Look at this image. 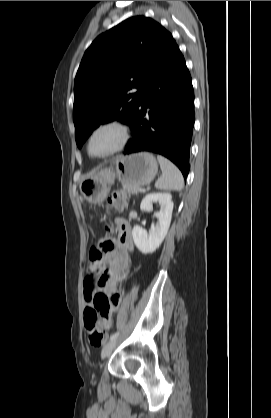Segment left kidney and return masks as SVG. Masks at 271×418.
Instances as JSON below:
<instances>
[{"label": "left kidney", "mask_w": 271, "mask_h": 418, "mask_svg": "<svg viewBox=\"0 0 271 418\" xmlns=\"http://www.w3.org/2000/svg\"><path fill=\"white\" fill-rule=\"evenodd\" d=\"M159 203L160 210L154 213L157 223H152L149 233L142 227H133L132 236L136 247L143 253L149 254L156 251L167 235L170 227L173 202L170 193H150L141 202L140 208L143 211H152V204Z\"/></svg>", "instance_id": "obj_1"}]
</instances>
